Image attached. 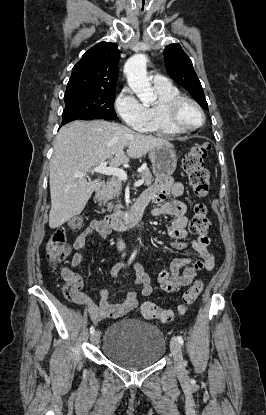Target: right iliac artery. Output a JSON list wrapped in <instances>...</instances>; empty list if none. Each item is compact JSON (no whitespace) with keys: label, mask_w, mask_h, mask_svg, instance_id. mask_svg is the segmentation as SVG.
I'll return each instance as SVG.
<instances>
[{"label":"right iliac artery","mask_w":266,"mask_h":415,"mask_svg":"<svg viewBox=\"0 0 266 415\" xmlns=\"http://www.w3.org/2000/svg\"><path fill=\"white\" fill-rule=\"evenodd\" d=\"M135 258V253L132 254L130 258V262ZM95 332V329L93 326L90 327V333L93 334Z\"/></svg>","instance_id":"right-iliac-artery-1"}]
</instances>
